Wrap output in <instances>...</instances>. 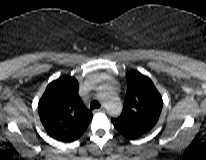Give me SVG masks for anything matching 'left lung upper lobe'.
<instances>
[{
  "instance_id": "obj_1",
  "label": "left lung upper lobe",
  "mask_w": 206,
  "mask_h": 160,
  "mask_svg": "<svg viewBox=\"0 0 206 160\" xmlns=\"http://www.w3.org/2000/svg\"><path fill=\"white\" fill-rule=\"evenodd\" d=\"M127 92L121 115L112 118L114 127L126 138L136 139L156 125L163 106L152 80L138 71L126 75Z\"/></svg>"
}]
</instances>
